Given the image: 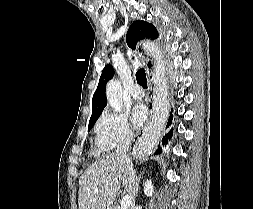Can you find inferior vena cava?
<instances>
[{"instance_id":"1","label":"inferior vena cava","mask_w":253,"mask_h":209,"mask_svg":"<svg viewBox=\"0 0 253 209\" xmlns=\"http://www.w3.org/2000/svg\"><path fill=\"white\" fill-rule=\"evenodd\" d=\"M132 138H133V133L131 131L127 132V134L122 138L119 145L117 146L116 154L122 157L123 159H125V161L127 162L129 176H130V184H131V199H132V203L134 204V199L136 195V176H135V171L133 169L131 160L127 156V151L129 150V146L131 144Z\"/></svg>"}]
</instances>
